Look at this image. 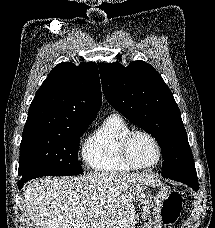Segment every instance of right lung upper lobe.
Here are the masks:
<instances>
[{"instance_id": "cb5924a9", "label": "right lung upper lobe", "mask_w": 215, "mask_h": 228, "mask_svg": "<svg viewBox=\"0 0 215 228\" xmlns=\"http://www.w3.org/2000/svg\"><path fill=\"white\" fill-rule=\"evenodd\" d=\"M95 63L62 62L52 69L29 107L24 131L62 124L92 122L101 106Z\"/></svg>"}]
</instances>
